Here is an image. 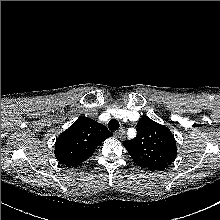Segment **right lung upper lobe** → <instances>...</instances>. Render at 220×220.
Wrapping results in <instances>:
<instances>
[{"label": "right lung upper lobe", "instance_id": "right-lung-upper-lobe-1", "mask_svg": "<svg viewBox=\"0 0 220 220\" xmlns=\"http://www.w3.org/2000/svg\"><path fill=\"white\" fill-rule=\"evenodd\" d=\"M113 134L102 124L80 117L56 140L55 157L65 165L76 166L88 159L105 139Z\"/></svg>", "mask_w": 220, "mask_h": 220}]
</instances>
